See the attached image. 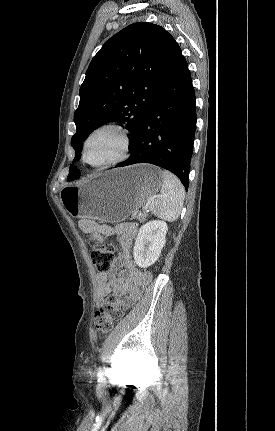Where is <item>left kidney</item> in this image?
I'll return each instance as SVG.
<instances>
[{
    "instance_id": "1",
    "label": "left kidney",
    "mask_w": 275,
    "mask_h": 431,
    "mask_svg": "<svg viewBox=\"0 0 275 431\" xmlns=\"http://www.w3.org/2000/svg\"><path fill=\"white\" fill-rule=\"evenodd\" d=\"M167 230L168 226L162 220H152L141 226L133 249L134 260L139 267L147 268L159 258Z\"/></svg>"
}]
</instances>
